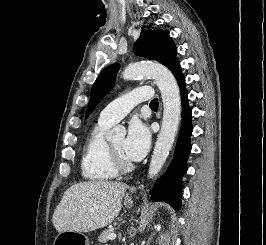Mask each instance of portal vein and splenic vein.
Returning a JSON list of instances; mask_svg holds the SVG:
<instances>
[{"label":"portal vein and splenic vein","mask_w":266,"mask_h":245,"mask_svg":"<svg viewBox=\"0 0 266 245\" xmlns=\"http://www.w3.org/2000/svg\"><path fill=\"white\" fill-rule=\"evenodd\" d=\"M117 235H115V233H112V235H109V237H107V239H109V241H114V239H116Z\"/></svg>","instance_id":"obj_1"}]
</instances>
